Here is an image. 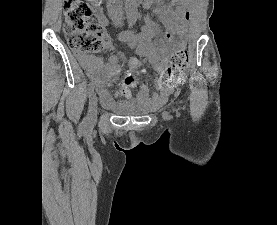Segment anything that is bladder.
I'll return each instance as SVG.
<instances>
[{"label": "bladder", "mask_w": 277, "mask_h": 225, "mask_svg": "<svg viewBox=\"0 0 277 225\" xmlns=\"http://www.w3.org/2000/svg\"><path fill=\"white\" fill-rule=\"evenodd\" d=\"M106 108L118 115L131 116L141 115L149 112L152 108V104L149 101H130L109 104L106 106Z\"/></svg>", "instance_id": "1"}]
</instances>
